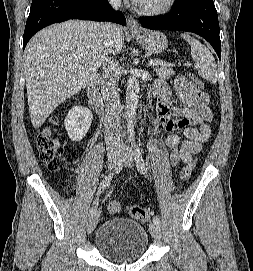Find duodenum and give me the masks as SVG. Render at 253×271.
<instances>
[{
  "label": "duodenum",
  "mask_w": 253,
  "mask_h": 271,
  "mask_svg": "<svg viewBox=\"0 0 253 271\" xmlns=\"http://www.w3.org/2000/svg\"><path fill=\"white\" fill-rule=\"evenodd\" d=\"M99 81L97 79L92 80L87 89V96L91 107L99 114L103 113V104L99 96Z\"/></svg>",
  "instance_id": "duodenum-1"
}]
</instances>
